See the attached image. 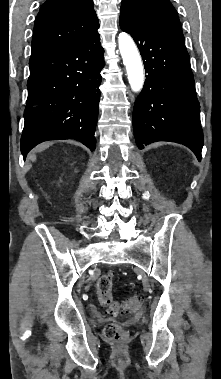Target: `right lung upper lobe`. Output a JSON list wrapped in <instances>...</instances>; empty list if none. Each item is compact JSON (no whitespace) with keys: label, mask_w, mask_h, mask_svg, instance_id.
Returning a JSON list of instances; mask_svg holds the SVG:
<instances>
[{"label":"right lung upper lobe","mask_w":221,"mask_h":379,"mask_svg":"<svg viewBox=\"0 0 221 379\" xmlns=\"http://www.w3.org/2000/svg\"><path fill=\"white\" fill-rule=\"evenodd\" d=\"M98 27L93 0H46L35 19L30 61L74 45Z\"/></svg>","instance_id":"cb5924a9"}]
</instances>
